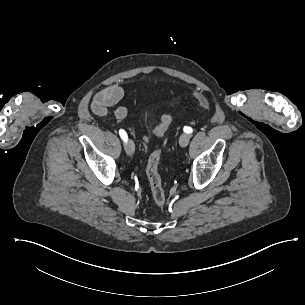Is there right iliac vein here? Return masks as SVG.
<instances>
[{
	"label": "right iliac vein",
	"instance_id": "1",
	"mask_svg": "<svg viewBox=\"0 0 305 305\" xmlns=\"http://www.w3.org/2000/svg\"><path fill=\"white\" fill-rule=\"evenodd\" d=\"M125 150L129 156H132L135 152V145L132 140H128L125 144Z\"/></svg>",
	"mask_w": 305,
	"mask_h": 305
}]
</instances>
